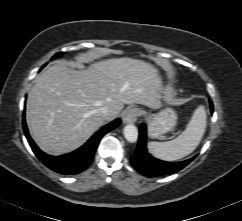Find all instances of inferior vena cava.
Wrapping results in <instances>:
<instances>
[{
	"label": "inferior vena cava",
	"mask_w": 242,
	"mask_h": 221,
	"mask_svg": "<svg viewBox=\"0 0 242 221\" xmlns=\"http://www.w3.org/2000/svg\"><path fill=\"white\" fill-rule=\"evenodd\" d=\"M99 111L101 112V114L103 115V117H104L105 119H108L109 116L112 114V112L110 111V109H109L108 107H106V106L101 107V108L99 109Z\"/></svg>",
	"instance_id": "inferior-vena-cava-1"
}]
</instances>
